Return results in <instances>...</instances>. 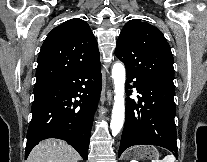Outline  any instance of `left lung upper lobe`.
<instances>
[{"mask_svg":"<svg viewBox=\"0 0 207 162\" xmlns=\"http://www.w3.org/2000/svg\"><path fill=\"white\" fill-rule=\"evenodd\" d=\"M115 55L126 70L153 82L173 84V56L162 32L155 26L133 19L118 38Z\"/></svg>","mask_w":207,"mask_h":162,"instance_id":"1","label":"left lung upper lobe"}]
</instances>
